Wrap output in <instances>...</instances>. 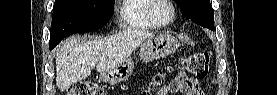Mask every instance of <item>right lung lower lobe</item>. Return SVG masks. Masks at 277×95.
I'll return each instance as SVG.
<instances>
[{
  "mask_svg": "<svg viewBox=\"0 0 277 95\" xmlns=\"http://www.w3.org/2000/svg\"><path fill=\"white\" fill-rule=\"evenodd\" d=\"M49 47H50V49H52V48H53V46H52V45H49Z\"/></svg>",
  "mask_w": 277,
  "mask_h": 95,
  "instance_id": "1",
  "label": "right lung lower lobe"
}]
</instances>
